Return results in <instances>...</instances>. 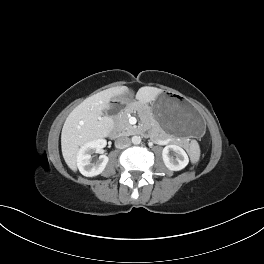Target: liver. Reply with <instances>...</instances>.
Segmentation results:
<instances>
[{"label":"liver","instance_id":"6515ba94","mask_svg":"<svg viewBox=\"0 0 264 264\" xmlns=\"http://www.w3.org/2000/svg\"><path fill=\"white\" fill-rule=\"evenodd\" d=\"M125 86L113 87L85 99L68 115L62 128L61 148L63 158L72 171L77 170L79 147L87 142L108 137L114 127V120L104 116L103 110L111 107L116 96L127 95ZM162 93L155 87H142L136 94L141 104L154 101Z\"/></svg>","mask_w":264,"mask_h":264}]
</instances>
